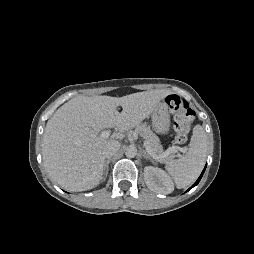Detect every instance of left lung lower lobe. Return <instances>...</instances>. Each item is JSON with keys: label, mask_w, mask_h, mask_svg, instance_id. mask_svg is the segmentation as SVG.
Listing matches in <instances>:
<instances>
[{"label": "left lung lower lobe", "mask_w": 254, "mask_h": 254, "mask_svg": "<svg viewBox=\"0 0 254 254\" xmlns=\"http://www.w3.org/2000/svg\"><path fill=\"white\" fill-rule=\"evenodd\" d=\"M205 168H206V167H205ZM205 168H204V170L202 171V173H201L200 177L198 178V180H197L188 190H190L191 188H193L194 186H196V185L199 183V181H200V179L202 178V175H203V173H204V171H205Z\"/></svg>", "instance_id": "obj_1"}]
</instances>
